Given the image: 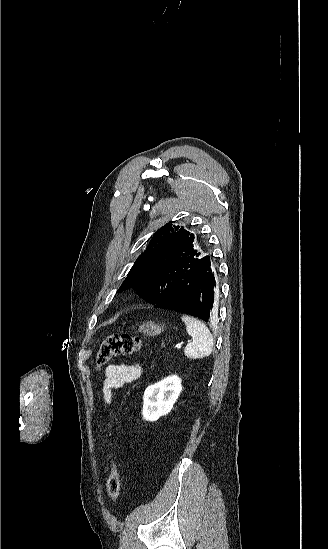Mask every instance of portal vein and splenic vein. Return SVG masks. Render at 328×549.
<instances>
[{"label": "portal vein and splenic vein", "mask_w": 328, "mask_h": 549, "mask_svg": "<svg viewBox=\"0 0 328 549\" xmlns=\"http://www.w3.org/2000/svg\"><path fill=\"white\" fill-rule=\"evenodd\" d=\"M188 343H189V341H188ZM177 348H178V350H181V347H180V345H177Z\"/></svg>", "instance_id": "1"}]
</instances>
